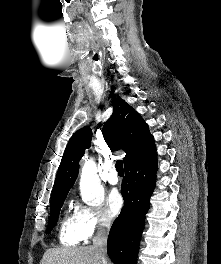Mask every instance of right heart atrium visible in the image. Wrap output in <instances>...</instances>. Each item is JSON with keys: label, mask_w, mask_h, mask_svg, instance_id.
Instances as JSON below:
<instances>
[{"label": "right heart atrium", "mask_w": 221, "mask_h": 264, "mask_svg": "<svg viewBox=\"0 0 221 264\" xmlns=\"http://www.w3.org/2000/svg\"><path fill=\"white\" fill-rule=\"evenodd\" d=\"M74 215L78 230L84 240L111 226L110 218L101 207L78 203L75 206Z\"/></svg>", "instance_id": "d8ad5b80"}]
</instances>
